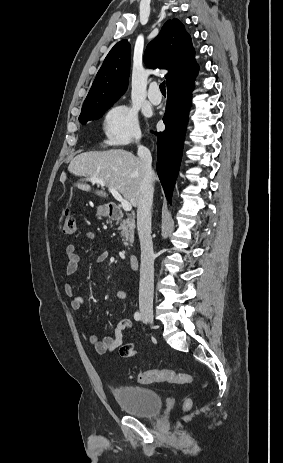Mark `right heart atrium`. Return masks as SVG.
<instances>
[{
  "label": "right heart atrium",
  "instance_id": "1",
  "mask_svg": "<svg viewBox=\"0 0 283 463\" xmlns=\"http://www.w3.org/2000/svg\"><path fill=\"white\" fill-rule=\"evenodd\" d=\"M102 131L104 142L110 145L139 142L141 130L136 110L127 104L111 107L104 115Z\"/></svg>",
  "mask_w": 283,
  "mask_h": 463
}]
</instances>
